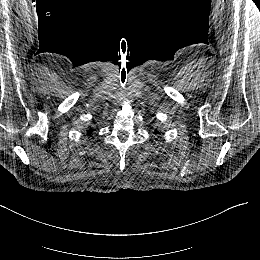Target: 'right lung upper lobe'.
Returning <instances> with one entry per match:
<instances>
[{
  "instance_id": "cb5924a9",
  "label": "right lung upper lobe",
  "mask_w": 260,
  "mask_h": 260,
  "mask_svg": "<svg viewBox=\"0 0 260 260\" xmlns=\"http://www.w3.org/2000/svg\"><path fill=\"white\" fill-rule=\"evenodd\" d=\"M88 135L91 136L92 135V129L90 128L88 131H87Z\"/></svg>"
}]
</instances>
